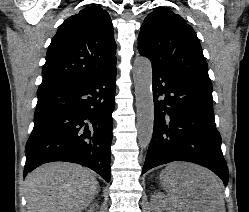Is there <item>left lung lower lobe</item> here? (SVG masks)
<instances>
[{"instance_id": "1", "label": "left lung lower lobe", "mask_w": 249, "mask_h": 212, "mask_svg": "<svg viewBox=\"0 0 249 212\" xmlns=\"http://www.w3.org/2000/svg\"><path fill=\"white\" fill-rule=\"evenodd\" d=\"M153 66L154 127L142 174L172 161L212 170L224 185L228 168L216 129L212 84Z\"/></svg>"}]
</instances>
